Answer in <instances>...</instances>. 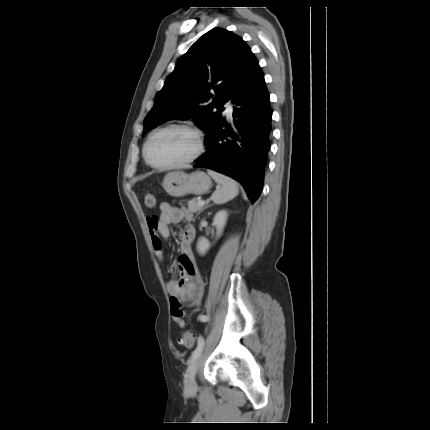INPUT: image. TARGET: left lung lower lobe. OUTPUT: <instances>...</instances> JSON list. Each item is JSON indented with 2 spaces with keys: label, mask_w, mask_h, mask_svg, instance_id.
Returning a JSON list of instances; mask_svg holds the SVG:
<instances>
[{
  "label": "left lung lower lobe",
  "mask_w": 430,
  "mask_h": 430,
  "mask_svg": "<svg viewBox=\"0 0 430 430\" xmlns=\"http://www.w3.org/2000/svg\"><path fill=\"white\" fill-rule=\"evenodd\" d=\"M233 120L222 116L207 133V151L194 167H206L237 180L254 203L263 187L271 146L272 110L261 68H257L244 91L232 98Z\"/></svg>",
  "instance_id": "1"
}]
</instances>
